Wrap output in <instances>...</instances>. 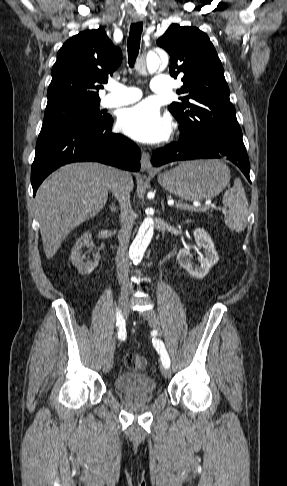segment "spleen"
Returning a JSON list of instances; mask_svg holds the SVG:
<instances>
[{"label":"spleen","instance_id":"1","mask_svg":"<svg viewBox=\"0 0 287 486\" xmlns=\"http://www.w3.org/2000/svg\"><path fill=\"white\" fill-rule=\"evenodd\" d=\"M222 203L228 207L224 217L225 224L231 231H243L247 226L248 200L239 178H236L234 186L224 193Z\"/></svg>","mask_w":287,"mask_h":486}]
</instances>
